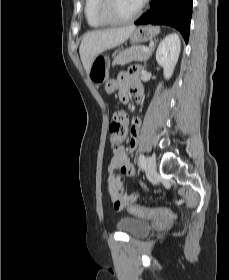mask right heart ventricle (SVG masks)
<instances>
[{
    "mask_svg": "<svg viewBox=\"0 0 229 280\" xmlns=\"http://www.w3.org/2000/svg\"><path fill=\"white\" fill-rule=\"evenodd\" d=\"M100 0H85L84 4V15L87 21V24L91 28L100 29L107 26L102 22L97 16V8Z\"/></svg>",
    "mask_w": 229,
    "mask_h": 280,
    "instance_id": "1",
    "label": "right heart ventricle"
}]
</instances>
